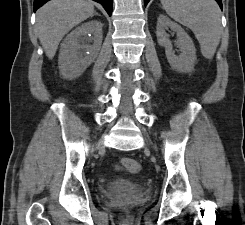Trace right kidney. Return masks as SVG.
Returning a JSON list of instances; mask_svg holds the SVG:
<instances>
[{
  "mask_svg": "<svg viewBox=\"0 0 245 225\" xmlns=\"http://www.w3.org/2000/svg\"><path fill=\"white\" fill-rule=\"evenodd\" d=\"M102 26L99 21H89L67 35L61 44L58 59L63 78L71 80L79 77L95 60L101 48Z\"/></svg>",
  "mask_w": 245,
  "mask_h": 225,
  "instance_id": "obj_1",
  "label": "right kidney"
}]
</instances>
